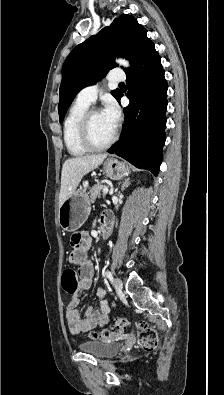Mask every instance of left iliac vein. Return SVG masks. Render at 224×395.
I'll return each mask as SVG.
<instances>
[{
	"instance_id": "4c4485c4",
	"label": "left iliac vein",
	"mask_w": 224,
	"mask_h": 395,
	"mask_svg": "<svg viewBox=\"0 0 224 395\" xmlns=\"http://www.w3.org/2000/svg\"><path fill=\"white\" fill-rule=\"evenodd\" d=\"M113 287L117 290V291H121L123 288V283L121 281V279L119 278H115L113 280Z\"/></svg>"
}]
</instances>
